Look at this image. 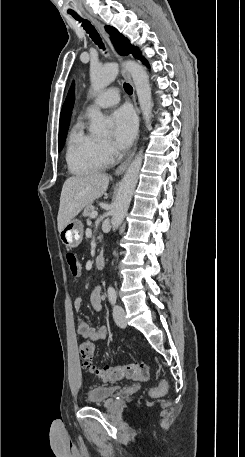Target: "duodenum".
<instances>
[{
    "instance_id": "1",
    "label": "duodenum",
    "mask_w": 245,
    "mask_h": 457,
    "mask_svg": "<svg viewBox=\"0 0 245 457\" xmlns=\"http://www.w3.org/2000/svg\"><path fill=\"white\" fill-rule=\"evenodd\" d=\"M104 264H105V258H104V255L102 253H99L96 257H95V266L100 269V268H103L104 267Z\"/></svg>"
}]
</instances>
